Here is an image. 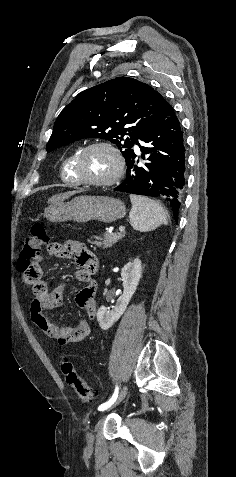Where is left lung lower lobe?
<instances>
[{
	"label": "left lung lower lobe",
	"mask_w": 236,
	"mask_h": 477,
	"mask_svg": "<svg viewBox=\"0 0 236 477\" xmlns=\"http://www.w3.org/2000/svg\"><path fill=\"white\" fill-rule=\"evenodd\" d=\"M139 145L138 165L134 153L127 161L126 179L114 190L164 199L171 206L177 223L186 177L183 134L173 107L162 98L160 111Z\"/></svg>",
	"instance_id": "left-lung-lower-lobe-1"
}]
</instances>
